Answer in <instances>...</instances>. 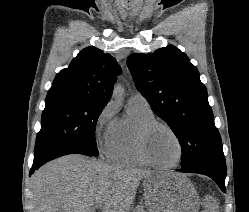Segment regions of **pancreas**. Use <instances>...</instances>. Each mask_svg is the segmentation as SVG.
<instances>
[{"instance_id":"obj_1","label":"pancreas","mask_w":249,"mask_h":212,"mask_svg":"<svg viewBox=\"0 0 249 212\" xmlns=\"http://www.w3.org/2000/svg\"><path fill=\"white\" fill-rule=\"evenodd\" d=\"M136 212H145L144 206H137Z\"/></svg>"}]
</instances>
